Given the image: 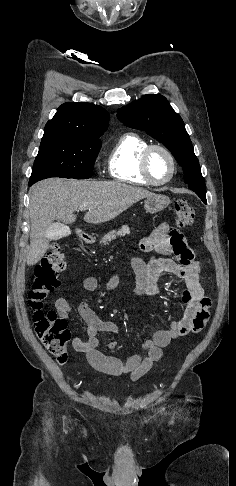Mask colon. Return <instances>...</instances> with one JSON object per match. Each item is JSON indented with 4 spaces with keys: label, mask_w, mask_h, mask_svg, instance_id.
<instances>
[{
    "label": "colon",
    "mask_w": 236,
    "mask_h": 486,
    "mask_svg": "<svg viewBox=\"0 0 236 486\" xmlns=\"http://www.w3.org/2000/svg\"><path fill=\"white\" fill-rule=\"evenodd\" d=\"M174 215L180 227L191 226L194 222V210L185 200L175 203ZM65 266L63 252L58 245H53L36 266L28 293V303L34 311V330L46 349L59 362H64L67 358V343L70 340L67 321L54 311L44 312L42 307L48 295L60 285L59 274Z\"/></svg>",
    "instance_id": "colon-1"
}]
</instances>
